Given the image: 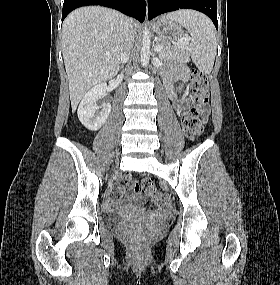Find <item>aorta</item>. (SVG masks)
I'll use <instances>...</instances> for the list:
<instances>
[{
  "label": "aorta",
  "mask_w": 280,
  "mask_h": 285,
  "mask_svg": "<svg viewBox=\"0 0 280 285\" xmlns=\"http://www.w3.org/2000/svg\"><path fill=\"white\" fill-rule=\"evenodd\" d=\"M150 38H151V33L148 29L145 28V30L143 31V41L141 48V63L144 68L147 67V65L149 64Z\"/></svg>",
  "instance_id": "1"
}]
</instances>
